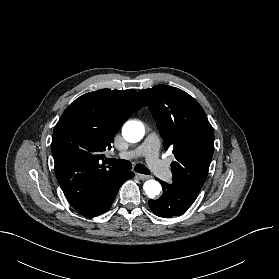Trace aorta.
<instances>
[{"label": "aorta", "mask_w": 279, "mask_h": 279, "mask_svg": "<svg viewBox=\"0 0 279 279\" xmlns=\"http://www.w3.org/2000/svg\"><path fill=\"white\" fill-rule=\"evenodd\" d=\"M145 134V128L138 121H128L123 125L122 135L130 143L139 142ZM143 189L149 198H154L161 191V185L156 180H148L144 183Z\"/></svg>", "instance_id": "aorta-1"}]
</instances>
